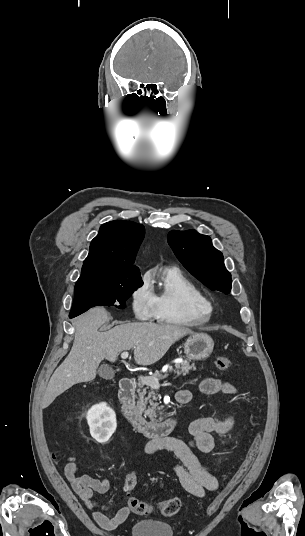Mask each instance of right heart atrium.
Returning <instances> with one entry per match:
<instances>
[{
    "instance_id": "right-heart-atrium-1",
    "label": "right heart atrium",
    "mask_w": 305,
    "mask_h": 536,
    "mask_svg": "<svg viewBox=\"0 0 305 536\" xmlns=\"http://www.w3.org/2000/svg\"><path fill=\"white\" fill-rule=\"evenodd\" d=\"M130 306L132 312L139 320H149L155 317L156 309L151 285L146 277H142L131 291Z\"/></svg>"
}]
</instances>
